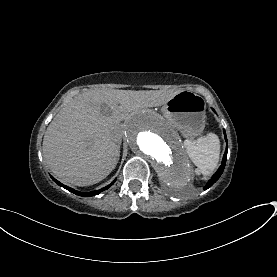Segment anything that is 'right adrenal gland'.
I'll return each instance as SVG.
<instances>
[{
  "mask_svg": "<svg viewBox=\"0 0 277 277\" xmlns=\"http://www.w3.org/2000/svg\"><path fill=\"white\" fill-rule=\"evenodd\" d=\"M119 157H120V155L117 157V162L119 161Z\"/></svg>",
  "mask_w": 277,
  "mask_h": 277,
  "instance_id": "obj_1",
  "label": "right adrenal gland"
}]
</instances>
